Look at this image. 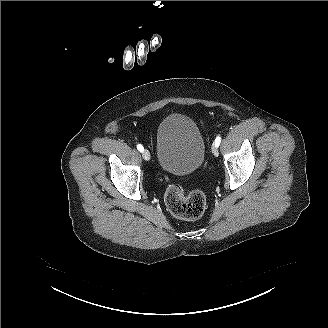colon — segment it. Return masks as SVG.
<instances>
[{
    "instance_id": "colon-1",
    "label": "colon",
    "mask_w": 328,
    "mask_h": 328,
    "mask_svg": "<svg viewBox=\"0 0 328 328\" xmlns=\"http://www.w3.org/2000/svg\"><path fill=\"white\" fill-rule=\"evenodd\" d=\"M165 204L169 212L183 220L199 219L206 209V196L198 189L187 191L180 184L170 185L165 193Z\"/></svg>"
}]
</instances>
